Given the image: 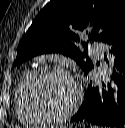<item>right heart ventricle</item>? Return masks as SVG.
Listing matches in <instances>:
<instances>
[{"label": "right heart ventricle", "mask_w": 125, "mask_h": 128, "mask_svg": "<svg viewBox=\"0 0 125 128\" xmlns=\"http://www.w3.org/2000/svg\"><path fill=\"white\" fill-rule=\"evenodd\" d=\"M31 71H26L21 76L16 87V114L20 121L25 124L35 125L40 124L43 121L37 119L31 111L28 109L25 97H24V84Z\"/></svg>", "instance_id": "1"}]
</instances>
